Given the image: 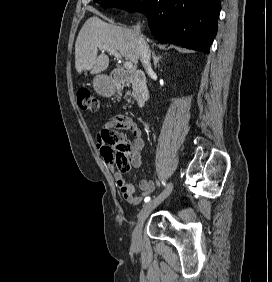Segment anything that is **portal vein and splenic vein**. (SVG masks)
<instances>
[{
  "instance_id": "18ae733b",
  "label": "portal vein and splenic vein",
  "mask_w": 272,
  "mask_h": 282,
  "mask_svg": "<svg viewBox=\"0 0 272 282\" xmlns=\"http://www.w3.org/2000/svg\"><path fill=\"white\" fill-rule=\"evenodd\" d=\"M99 49L102 50V51H107L109 54L114 55L115 58H117V59H121V55L116 50H114L112 48H109V47H107L105 45H100ZM124 67L126 69H132L133 68V63L130 62V61H125Z\"/></svg>"
}]
</instances>
